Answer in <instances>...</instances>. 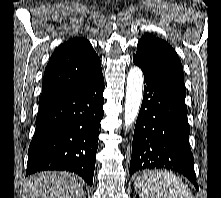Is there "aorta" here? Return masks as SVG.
Listing matches in <instances>:
<instances>
[{"mask_svg":"<svg viewBox=\"0 0 221 198\" xmlns=\"http://www.w3.org/2000/svg\"><path fill=\"white\" fill-rule=\"evenodd\" d=\"M143 73L139 67H132L127 76L124 124L126 130L135 121L142 102Z\"/></svg>","mask_w":221,"mask_h":198,"instance_id":"762f6f07","label":"aorta"}]
</instances>
